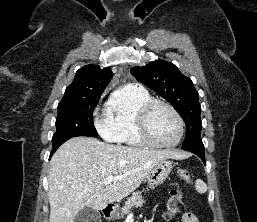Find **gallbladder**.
Returning a JSON list of instances; mask_svg holds the SVG:
<instances>
[{"mask_svg":"<svg viewBox=\"0 0 257 222\" xmlns=\"http://www.w3.org/2000/svg\"><path fill=\"white\" fill-rule=\"evenodd\" d=\"M74 222H101V214L91 207H84L78 212Z\"/></svg>","mask_w":257,"mask_h":222,"instance_id":"bac80fb5","label":"gallbladder"}]
</instances>
